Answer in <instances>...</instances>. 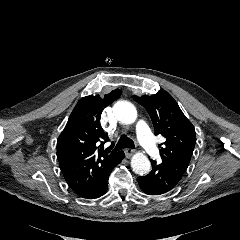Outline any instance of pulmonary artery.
<instances>
[{
	"instance_id": "1",
	"label": "pulmonary artery",
	"mask_w": 240,
	"mask_h": 240,
	"mask_svg": "<svg viewBox=\"0 0 240 240\" xmlns=\"http://www.w3.org/2000/svg\"><path fill=\"white\" fill-rule=\"evenodd\" d=\"M136 133L139 142L144 147L146 152L152 157L158 156V148L156 147L149 127L144 120L141 119L136 123Z\"/></svg>"
}]
</instances>
